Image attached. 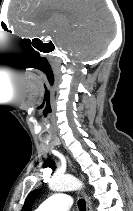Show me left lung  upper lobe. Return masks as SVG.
<instances>
[{"label": "left lung upper lobe", "instance_id": "obj_1", "mask_svg": "<svg viewBox=\"0 0 133 211\" xmlns=\"http://www.w3.org/2000/svg\"><path fill=\"white\" fill-rule=\"evenodd\" d=\"M39 194V190H34L33 192H31L28 197L25 200L24 206L22 208V211H29L34 199L36 198V196Z\"/></svg>", "mask_w": 133, "mask_h": 211}]
</instances>
